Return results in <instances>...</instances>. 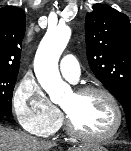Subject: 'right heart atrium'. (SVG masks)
I'll list each match as a JSON object with an SVG mask.
<instances>
[{"instance_id":"d8ad5b80","label":"right heart atrium","mask_w":131,"mask_h":151,"mask_svg":"<svg viewBox=\"0 0 131 151\" xmlns=\"http://www.w3.org/2000/svg\"><path fill=\"white\" fill-rule=\"evenodd\" d=\"M12 106L21 127L33 135L52 134L62 120L60 111L30 77H24L16 86Z\"/></svg>"}]
</instances>
